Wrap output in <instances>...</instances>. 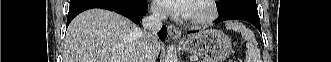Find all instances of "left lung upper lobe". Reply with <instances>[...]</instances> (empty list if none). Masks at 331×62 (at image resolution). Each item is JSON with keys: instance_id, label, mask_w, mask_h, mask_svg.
<instances>
[{"instance_id": "1", "label": "left lung upper lobe", "mask_w": 331, "mask_h": 62, "mask_svg": "<svg viewBox=\"0 0 331 62\" xmlns=\"http://www.w3.org/2000/svg\"><path fill=\"white\" fill-rule=\"evenodd\" d=\"M218 7L222 9V11H227L230 8L242 6L247 7L252 10H257L256 0H219Z\"/></svg>"}]
</instances>
